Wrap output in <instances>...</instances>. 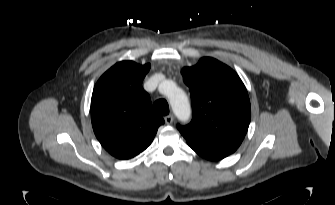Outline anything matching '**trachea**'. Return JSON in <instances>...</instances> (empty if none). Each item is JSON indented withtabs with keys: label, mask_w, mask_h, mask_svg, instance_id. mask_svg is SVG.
I'll use <instances>...</instances> for the list:
<instances>
[{
	"label": "trachea",
	"mask_w": 335,
	"mask_h": 205,
	"mask_svg": "<svg viewBox=\"0 0 335 205\" xmlns=\"http://www.w3.org/2000/svg\"><path fill=\"white\" fill-rule=\"evenodd\" d=\"M153 109L160 115L169 114V106L165 99H159L153 104Z\"/></svg>",
	"instance_id": "trachea-1"
}]
</instances>
